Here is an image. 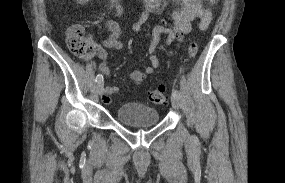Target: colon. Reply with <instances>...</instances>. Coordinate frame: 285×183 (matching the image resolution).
Instances as JSON below:
<instances>
[{"mask_svg":"<svg viewBox=\"0 0 285 183\" xmlns=\"http://www.w3.org/2000/svg\"><path fill=\"white\" fill-rule=\"evenodd\" d=\"M67 45L69 50L77 57H84L89 48V42L85 35L84 28L75 24L67 29ZM199 45L197 42H191L187 48V54L190 59L198 53ZM149 100L155 104H165L168 102V95L164 88L153 90L149 93Z\"/></svg>","mask_w":285,"mask_h":183,"instance_id":"1","label":"colon"}]
</instances>
